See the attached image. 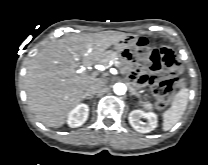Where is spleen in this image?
I'll list each match as a JSON object with an SVG mask.
<instances>
[{"label":"spleen","mask_w":208,"mask_h":165,"mask_svg":"<svg viewBox=\"0 0 208 165\" xmlns=\"http://www.w3.org/2000/svg\"><path fill=\"white\" fill-rule=\"evenodd\" d=\"M189 99V89L181 88L175 95L172 105L163 114V131L170 130L183 116ZM145 109H151L152 105L149 102H144Z\"/></svg>","instance_id":"obj_1"}]
</instances>
